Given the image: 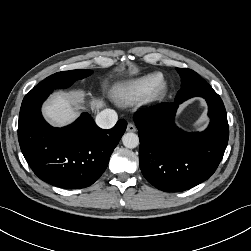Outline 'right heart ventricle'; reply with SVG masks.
I'll list each match as a JSON object with an SVG mask.
<instances>
[{
  "label": "right heart ventricle",
  "instance_id": "obj_1",
  "mask_svg": "<svg viewBox=\"0 0 251 251\" xmlns=\"http://www.w3.org/2000/svg\"><path fill=\"white\" fill-rule=\"evenodd\" d=\"M163 80L164 77L161 73H149L119 84L116 87L115 93L117 98L122 102H137L152 94Z\"/></svg>",
  "mask_w": 251,
  "mask_h": 251
}]
</instances>
